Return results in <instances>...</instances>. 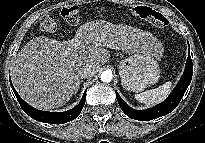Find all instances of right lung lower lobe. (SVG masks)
Instances as JSON below:
<instances>
[{"mask_svg":"<svg viewBox=\"0 0 205 143\" xmlns=\"http://www.w3.org/2000/svg\"><path fill=\"white\" fill-rule=\"evenodd\" d=\"M9 80H10L11 87L17 97V100L19 101L21 108L24 110V112L27 115H29L31 118L37 121L44 122V123H51V124H64V123L74 120L80 114V112L82 111L84 107L87 90H85L80 103L74 108H72L71 110H68L65 112H59V113L37 110L31 107L29 104H27L23 99H21V97L16 92L15 88L13 87L11 83V79Z\"/></svg>","mask_w":205,"mask_h":143,"instance_id":"1","label":"right lung lower lobe"}]
</instances>
